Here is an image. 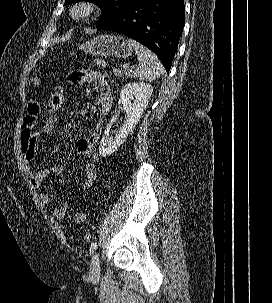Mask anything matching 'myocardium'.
Listing matches in <instances>:
<instances>
[{
  "mask_svg": "<svg viewBox=\"0 0 272 303\" xmlns=\"http://www.w3.org/2000/svg\"><path fill=\"white\" fill-rule=\"evenodd\" d=\"M99 12V6L89 0L76 2L70 9V17L73 21L79 22L95 16Z\"/></svg>",
  "mask_w": 272,
  "mask_h": 303,
  "instance_id": "f54148a6",
  "label": "myocardium"
}]
</instances>
